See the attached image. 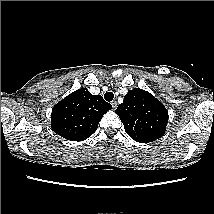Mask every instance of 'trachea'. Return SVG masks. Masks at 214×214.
Returning a JSON list of instances; mask_svg holds the SVG:
<instances>
[{
  "label": "trachea",
  "mask_w": 214,
  "mask_h": 214,
  "mask_svg": "<svg viewBox=\"0 0 214 214\" xmlns=\"http://www.w3.org/2000/svg\"><path fill=\"white\" fill-rule=\"evenodd\" d=\"M104 98L108 102L112 101L113 98H114L113 92H106L105 95H104Z\"/></svg>",
  "instance_id": "3493384b"
}]
</instances>
